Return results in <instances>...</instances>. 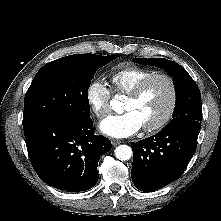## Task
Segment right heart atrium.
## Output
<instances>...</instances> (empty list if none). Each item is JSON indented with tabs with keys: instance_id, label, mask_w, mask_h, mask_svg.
<instances>
[{
	"instance_id": "right-heart-atrium-1",
	"label": "right heart atrium",
	"mask_w": 221,
	"mask_h": 221,
	"mask_svg": "<svg viewBox=\"0 0 221 221\" xmlns=\"http://www.w3.org/2000/svg\"><path fill=\"white\" fill-rule=\"evenodd\" d=\"M111 92L99 79L89 83L85 91V99L91 112L99 119L110 112Z\"/></svg>"
}]
</instances>
